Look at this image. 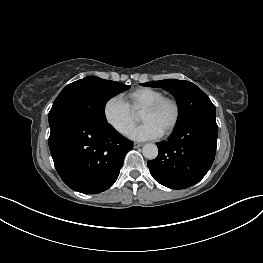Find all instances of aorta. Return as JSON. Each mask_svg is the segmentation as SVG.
<instances>
[{
	"mask_svg": "<svg viewBox=\"0 0 263 263\" xmlns=\"http://www.w3.org/2000/svg\"><path fill=\"white\" fill-rule=\"evenodd\" d=\"M142 153L147 159H155L158 155V147L153 143H147L143 146Z\"/></svg>",
	"mask_w": 263,
	"mask_h": 263,
	"instance_id": "obj_1",
	"label": "aorta"
}]
</instances>
